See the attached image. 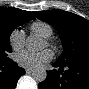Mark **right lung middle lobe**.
Listing matches in <instances>:
<instances>
[{
    "label": "right lung middle lobe",
    "mask_w": 89,
    "mask_h": 89,
    "mask_svg": "<svg viewBox=\"0 0 89 89\" xmlns=\"http://www.w3.org/2000/svg\"><path fill=\"white\" fill-rule=\"evenodd\" d=\"M19 25L6 19L0 20V60L6 59L7 52H11L10 35Z\"/></svg>",
    "instance_id": "dd1d6c3e"
}]
</instances>
